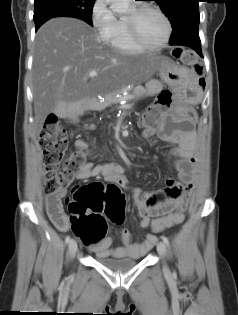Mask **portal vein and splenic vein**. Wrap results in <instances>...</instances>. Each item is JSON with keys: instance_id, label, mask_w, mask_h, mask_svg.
I'll return each mask as SVG.
<instances>
[{"instance_id": "portal-vein-and-splenic-vein-1", "label": "portal vein and splenic vein", "mask_w": 238, "mask_h": 315, "mask_svg": "<svg viewBox=\"0 0 238 315\" xmlns=\"http://www.w3.org/2000/svg\"><path fill=\"white\" fill-rule=\"evenodd\" d=\"M97 72L96 71H91L90 73H89V77H91V78H93V77H96L97 76ZM134 97L132 96V95H129V96H127L126 97V99H133Z\"/></svg>"}]
</instances>
